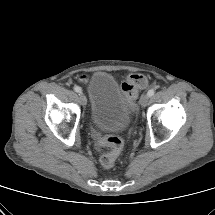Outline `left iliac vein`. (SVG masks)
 Wrapping results in <instances>:
<instances>
[{"label":"left iliac vein","mask_w":215,"mask_h":215,"mask_svg":"<svg viewBox=\"0 0 215 215\" xmlns=\"http://www.w3.org/2000/svg\"><path fill=\"white\" fill-rule=\"evenodd\" d=\"M149 101V96L148 94H143L140 98V104L142 107H146Z\"/></svg>","instance_id":"1"}]
</instances>
